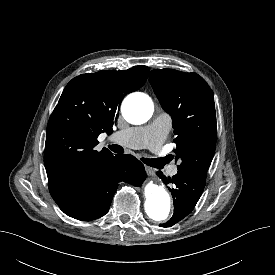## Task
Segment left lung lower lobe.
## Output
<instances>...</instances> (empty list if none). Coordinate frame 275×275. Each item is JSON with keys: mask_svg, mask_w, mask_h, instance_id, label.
<instances>
[{"mask_svg": "<svg viewBox=\"0 0 275 275\" xmlns=\"http://www.w3.org/2000/svg\"><path fill=\"white\" fill-rule=\"evenodd\" d=\"M157 175L164 184L172 186L169 190L174 200V214L167 223L160 224L161 227H170L194 209L204 190L206 178L187 171H178L172 178H167L161 171H158Z\"/></svg>", "mask_w": 275, "mask_h": 275, "instance_id": "left-lung-lower-lobe-1", "label": "left lung lower lobe"}]
</instances>
